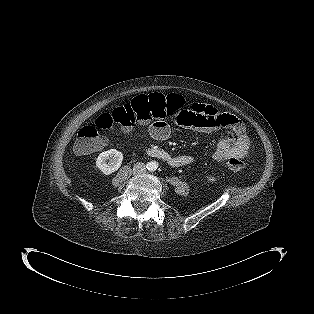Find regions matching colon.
Instances as JSON below:
<instances>
[{"label":"colon","mask_w":314,"mask_h":314,"mask_svg":"<svg viewBox=\"0 0 314 314\" xmlns=\"http://www.w3.org/2000/svg\"><path fill=\"white\" fill-rule=\"evenodd\" d=\"M185 102L180 95H163L153 93L139 95L130 103L117 107L111 113L98 116L92 125L83 126L74 143V151L78 155H87L98 151L104 146V138L100 131H113L115 127L131 128L136 124H148L155 120L169 118L179 108H184ZM228 167L232 170L243 168V162L231 158Z\"/></svg>","instance_id":"colon-1"}]
</instances>
